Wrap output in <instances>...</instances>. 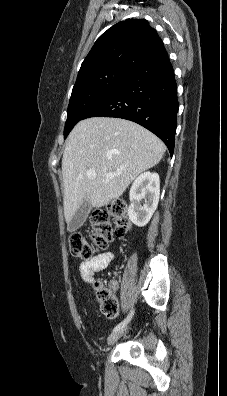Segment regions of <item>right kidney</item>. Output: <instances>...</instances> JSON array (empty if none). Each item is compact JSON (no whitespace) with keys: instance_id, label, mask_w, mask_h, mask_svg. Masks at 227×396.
<instances>
[{"instance_id":"1","label":"right kidney","mask_w":227,"mask_h":396,"mask_svg":"<svg viewBox=\"0 0 227 396\" xmlns=\"http://www.w3.org/2000/svg\"><path fill=\"white\" fill-rule=\"evenodd\" d=\"M159 196V175L151 172L140 174L134 180L129 193V219L138 227L145 226L157 208Z\"/></svg>"}]
</instances>
